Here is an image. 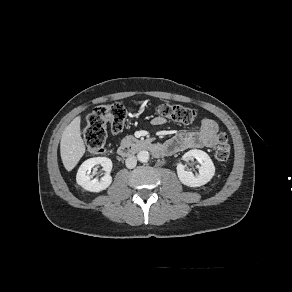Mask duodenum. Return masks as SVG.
Masks as SVG:
<instances>
[{
  "instance_id": "1",
  "label": "duodenum",
  "mask_w": 292,
  "mask_h": 292,
  "mask_svg": "<svg viewBox=\"0 0 292 292\" xmlns=\"http://www.w3.org/2000/svg\"><path fill=\"white\" fill-rule=\"evenodd\" d=\"M141 150H149L156 153L158 149L156 144L148 139L127 138L119 146L118 154L121 157H128Z\"/></svg>"
}]
</instances>
